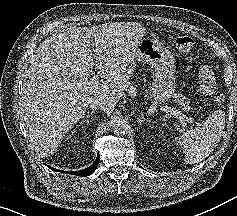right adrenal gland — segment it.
I'll return each instance as SVG.
<instances>
[{
	"mask_svg": "<svg viewBox=\"0 0 237 216\" xmlns=\"http://www.w3.org/2000/svg\"><path fill=\"white\" fill-rule=\"evenodd\" d=\"M93 111H94V110H92V111L86 116V119L84 120V122H85L84 127H87V126H88V123H89V122H92V119H90V118H91L92 115H93Z\"/></svg>",
	"mask_w": 237,
	"mask_h": 216,
	"instance_id": "obj_1",
	"label": "right adrenal gland"
}]
</instances>
